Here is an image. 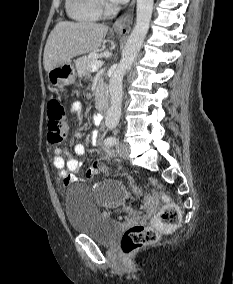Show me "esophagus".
<instances>
[{
  "label": "esophagus",
  "mask_w": 233,
  "mask_h": 284,
  "mask_svg": "<svg viewBox=\"0 0 233 284\" xmlns=\"http://www.w3.org/2000/svg\"><path fill=\"white\" fill-rule=\"evenodd\" d=\"M135 0H132L129 8L113 24V30L121 34L129 33L133 21Z\"/></svg>",
  "instance_id": "obj_1"
}]
</instances>
